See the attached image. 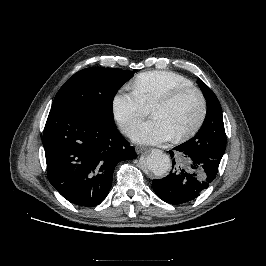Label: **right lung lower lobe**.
<instances>
[{
	"label": "right lung lower lobe",
	"instance_id": "obj_1",
	"mask_svg": "<svg viewBox=\"0 0 266 266\" xmlns=\"http://www.w3.org/2000/svg\"><path fill=\"white\" fill-rule=\"evenodd\" d=\"M42 142L50 183L69 202L84 207L100 204L115 166L137 157L114 122L61 109L50 111Z\"/></svg>",
	"mask_w": 266,
	"mask_h": 266
}]
</instances>
